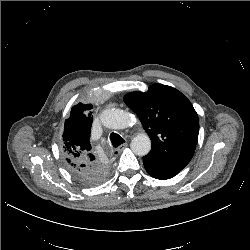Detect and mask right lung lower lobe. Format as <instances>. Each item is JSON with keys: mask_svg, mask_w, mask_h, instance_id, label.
Wrapping results in <instances>:
<instances>
[{"mask_svg": "<svg viewBox=\"0 0 250 250\" xmlns=\"http://www.w3.org/2000/svg\"><path fill=\"white\" fill-rule=\"evenodd\" d=\"M70 173L81 183L93 186L103 183L109 176L108 170L101 171H89V170H77L68 166Z\"/></svg>", "mask_w": 250, "mask_h": 250, "instance_id": "98d812e1", "label": "right lung lower lobe"}]
</instances>
